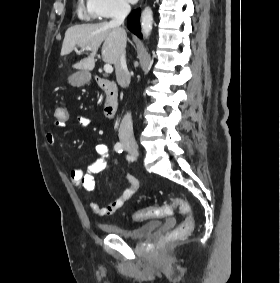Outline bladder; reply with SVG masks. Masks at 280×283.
I'll list each match as a JSON object with an SVG mask.
<instances>
[{
    "mask_svg": "<svg viewBox=\"0 0 280 283\" xmlns=\"http://www.w3.org/2000/svg\"><path fill=\"white\" fill-rule=\"evenodd\" d=\"M160 226V221L152 220L132 229L125 228L124 226L115 223L105 224L102 229L108 234H113L123 239L140 240L156 231Z\"/></svg>",
    "mask_w": 280,
    "mask_h": 283,
    "instance_id": "bladder-1",
    "label": "bladder"
}]
</instances>
